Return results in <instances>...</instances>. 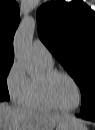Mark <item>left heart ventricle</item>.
<instances>
[{"mask_svg":"<svg viewBox=\"0 0 95 130\" xmlns=\"http://www.w3.org/2000/svg\"><path fill=\"white\" fill-rule=\"evenodd\" d=\"M51 94L59 105L66 108H73L79 102V93L76 86L64 76H59L52 82Z\"/></svg>","mask_w":95,"mask_h":130,"instance_id":"left-heart-ventricle-1","label":"left heart ventricle"}]
</instances>
